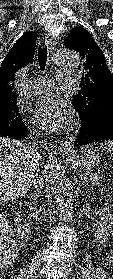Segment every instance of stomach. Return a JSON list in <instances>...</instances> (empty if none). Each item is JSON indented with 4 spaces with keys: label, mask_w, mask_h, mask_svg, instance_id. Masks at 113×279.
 Segmentation results:
<instances>
[{
    "label": "stomach",
    "mask_w": 113,
    "mask_h": 279,
    "mask_svg": "<svg viewBox=\"0 0 113 279\" xmlns=\"http://www.w3.org/2000/svg\"><path fill=\"white\" fill-rule=\"evenodd\" d=\"M100 154L93 144H86L71 153L68 160L75 169L91 170L100 163Z\"/></svg>",
    "instance_id": "0dacf381"
}]
</instances>
